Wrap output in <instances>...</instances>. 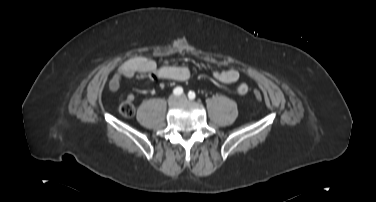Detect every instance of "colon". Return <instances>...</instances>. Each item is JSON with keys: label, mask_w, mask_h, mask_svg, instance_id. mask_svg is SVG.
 Listing matches in <instances>:
<instances>
[{"label": "colon", "mask_w": 376, "mask_h": 202, "mask_svg": "<svg viewBox=\"0 0 376 202\" xmlns=\"http://www.w3.org/2000/svg\"><path fill=\"white\" fill-rule=\"evenodd\" d=\"M255 98L257 100H261L262 94L259 91H256L255 92ZM119 111L122 115H124L126 117L133 116L134 113H135V106L133 104V101L127 98V100H125L124 102H122L120 104Z\"/></svg>", "instance_id": "1"}]
</instances>
